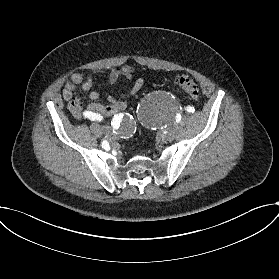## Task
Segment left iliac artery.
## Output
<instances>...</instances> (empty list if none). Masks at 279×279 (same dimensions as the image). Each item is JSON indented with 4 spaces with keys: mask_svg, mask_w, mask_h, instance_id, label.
Masks as SVG:
<instances>
[{
    "mask_svg": "<svg viewBox=\"0 0 279 279\" xmlns=\"http://www.w3.org/2000/svg\"><path fill=\"white\" fill-rule=\"evenodd\" d=\"M186 110H187V112H189V113H193V112L195 111L194 107H192V106H188V107L186 108Z\"/></svg>",
    "mask_w": 279,
    "mask_h": 279,
    "instance_id": "left-iliac-artery-1",
    "label": "left iliac artery"
}]
</instances>
